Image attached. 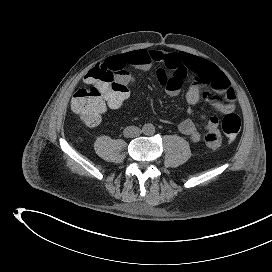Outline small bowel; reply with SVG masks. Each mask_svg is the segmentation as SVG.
I'll use <instances>...</instances> for the list:
<instances>
[{
  "mask_svg": "<svg viewBox=\"0 0 272 272\" xmlns=\"http://www.w3.org/2000/svg\"><path fill=\"white\" fill-rule=\"evenodd\" d=\"M103 65L112 68L123 67L125 73L119 77L127 83L135 81L127 71V67L148 71L156 65L159 81L167 95H179L185 81L189 78L191 83L185 93L188 104L194 105L202 100L213 106L220 114H228L235 109V90L226 75L213 63L198 56L186 52L166 53L160 50L139 49L113 55L107 58ZM204 119L205 134H202L188 118L179 123L178 129L193 142H203L207 147L217 149L222 142L219 119L216 116L204 117Z\"/></svg>",
  "mask_w": 272,
  "mask_h": 272,
  "instance_id": "c3829d8e",
  "label": "small bowel"
}]
</instances>
